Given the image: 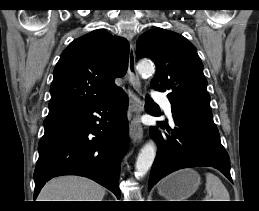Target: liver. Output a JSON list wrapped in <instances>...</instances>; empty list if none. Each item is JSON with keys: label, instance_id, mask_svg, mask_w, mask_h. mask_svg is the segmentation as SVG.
I'll return each mask as SVG.
<instances>
[{"label": "liver", "instance_id": "liver-1", "mask_svg": "<svg viewBox=\"0 0 259 211\" xmlns=\"http://www.w3.org/2000/svg\"><path fill=\"white\" fill-rule=\"evenodd\" d=\"M105 188L79 176H61L46 183L38 201H102Z\"/></svg>", "mask_w": 259, "mask_h": 211}]
</instances>
